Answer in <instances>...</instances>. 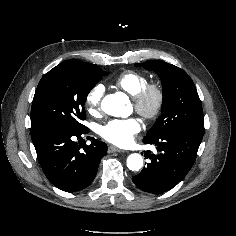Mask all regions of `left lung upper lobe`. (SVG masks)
<instances>
[{
	"instance_id": "left-lung-upper-lobe-1",
	"label": "left lung upper lobe",
	"mask_w": 236,
	"mask_h": 236,
	"mask_svg": "<svg viewBox=\"0 0 236 236\" xmlns=\"http://www.w3.org/2000/svg\"><path fill=\"white\" fill-rule=\"evenodd\" d=\"M158 74L163 87L161 115L146 136L172 131H187L204 135V117L201 102L188 74L162 60L136 64Z\"/></svg>"
}]
</instances>
